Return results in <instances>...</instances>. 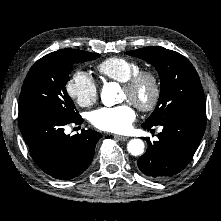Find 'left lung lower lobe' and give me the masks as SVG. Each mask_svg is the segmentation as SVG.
<instances>
[{
    "label": "left lung lower lobe",
    "mask_w": 221,
    "mask_h": 221,
    "mask_svg": "<svg viewBox=\"0 0 221 221\" xmlns=\"http://www.w3.org/2000/svg\"><path fill=\"white\" fill-rule=\"evenodd\" d=\"M158 141L150 142L137 161L139 169L154 179H164L182 171L192 159L206 127V109H191L170 116L162 123ZM150 130L152 126L142 125Z\"/></svg>",
    "instance_id": "0a47b994"
}]
</instances>
